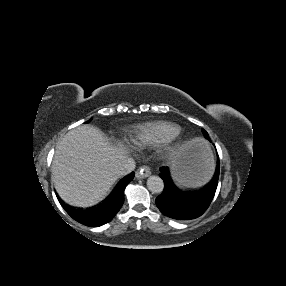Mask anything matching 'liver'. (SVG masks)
<instances>
[{"label": "liver", "mask_w": 286, "mask_h": 286, "mask_svg": "<svg viewBox=\"0 0 286 286\" xmlns=\"http://www.w3.org/2000/svg\"><path fill=\"white\" fill-rule=\"evenodd\" d=\"M126 153L122 145H111L95 127L82 125L72 129L58 143L52 162L59 196L75 206L96 203L118 179L115 165Z\"/></svg>", "instance_id": "obj_1"}]
</instances>
